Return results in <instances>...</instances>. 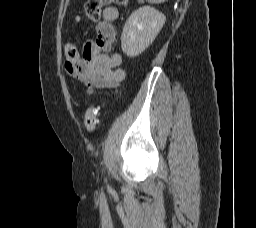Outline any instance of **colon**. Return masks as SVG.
Returning <instances> with one entry per match:
<instances>
[{
    "label": "colon",
    "mask_w": 256,
    "mask_h": 228,
    "mask_svg": "<svg viewBox=\"0 0 256 228\" xmlns=\"http://www.w3.org/2000/svg\"><path fill=\"white\" fill-rule=\"evenodd\" d=\"M127 2L128 0H87L85 5V12L87 17L92 22H97L101 16V10L105 5L116 3L125 7ZM65 55L69 63L76 62L79 57V53L76 47L71 43L66 44ZM98 111V107L92 105L87 109L85 113L84 124L88 132H93L96 129L98 123Z\"/></svg>",
    "instance_id": "obj_1"
}]
</instances>
